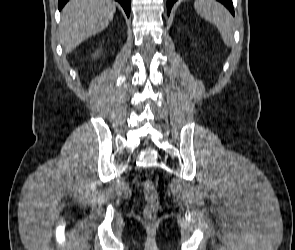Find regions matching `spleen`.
<instances>
[{
  "label": "spleen",
  "mask_w": 295,
  "mask_h": 250,
  "mask_svg": "<svg viewBox=\"0 0 295 250\" xmlns=\"http://www.w3.org/2000/svg\"><path fill=\"white\" fill-rule=\"evenodd\" d=\"M194 8L202 18L218 27L225 45L230 47L234 30L229 11L215 0H195Z\"/></svg>",
  "instance_id": "spleen-1"
}]
</instances>
